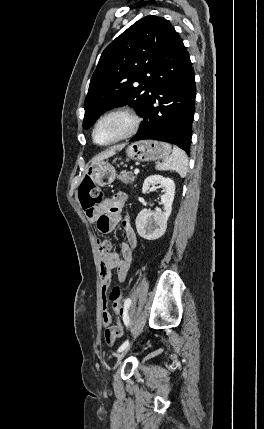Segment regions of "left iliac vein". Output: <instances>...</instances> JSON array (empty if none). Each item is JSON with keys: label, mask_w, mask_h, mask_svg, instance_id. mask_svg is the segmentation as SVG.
Instances as JSON below:
<instances>
[{"label": "left iliac vein", "mask_w": 264, "mask_h": 429, "mask_svg": "<svg viewBox=\"0 0 264 429\" xmlns=\"http://www.w3.org/2000/svg\"><path fill=\"white\" fill-rule=\"evenodd\" d=\"M130 346H127L126 349H124L118 356H117V361L115 364L114 369L121 363V360L124 358V356L126 355V353L128 352Z\"/></svg>", "instance_id": "1"}]
</instances>
